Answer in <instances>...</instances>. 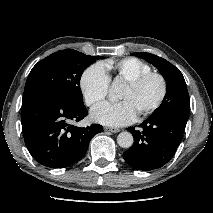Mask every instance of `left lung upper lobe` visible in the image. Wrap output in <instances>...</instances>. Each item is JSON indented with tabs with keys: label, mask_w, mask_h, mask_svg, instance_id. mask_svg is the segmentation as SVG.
Listing matches in <instances>:
<instances>
[{
	"label": "left lung upper lobe",
	"mask_w": 213,
	"mask_h": 213,
	"mask_svg": "<svg viewBox=\"0 0 213 213\" xmlns=\"http://www.w3.org/2000/svg\"><path fill=\"white\" fill-rule=\"evenodd\" d=\"M132 55L143 58L156 66L166 81L167 93L163 102L148 118H156L164 114H177L188 118L190 100L180 70L167 60L154 54L142 52L132 53Z\"/></svg>",
	"instance_id": "1"
}]
</instances>
